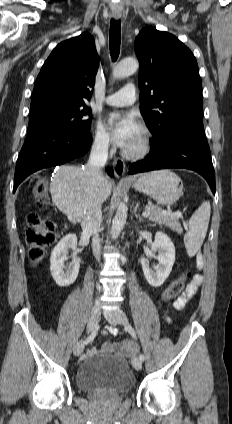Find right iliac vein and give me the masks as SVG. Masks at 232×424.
<instances>
[{"instance_id": "right-iliac-vein-1", "label": "right iliac vein", "mask_w": 232, "mask_h": 424, "mask_svg": "<svg viewBox=\"0 0 232 424\" xmlns=\"http://www.w3.org/2000/svg\"><path fill=\"white\" fill-rule=\"evenodd\" d=\"M101 317V307L99 305L93 306L90 312L87 329L91 331L99 322ZM84 350L83 341L80 340L76 343L73 349V353L75 356H79Z\"/></svg>"}]
</instances>
